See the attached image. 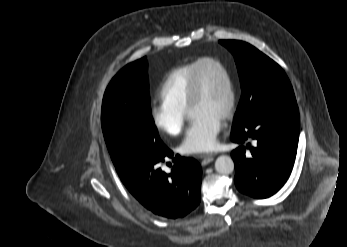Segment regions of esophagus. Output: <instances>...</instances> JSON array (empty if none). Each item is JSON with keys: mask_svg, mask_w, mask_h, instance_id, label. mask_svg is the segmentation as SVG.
I'll return each mask as SVG.
<instances>
[{"mask_svg": "<svg viewBox=\"0 0 347 247\" xmlns=\"http://www.w3.org/2000/svg\"><path fill=\"white\" fill-rule=\"evenodd\" d=\"M199 158L202 159V165H206L214 160V154L212 153L202 154V155H199Z\"/></svg>", "mask_w": 347, "mask_h": 247, "instance_id": "esophagus-1", "label": "esophagus"}]
</instances>
